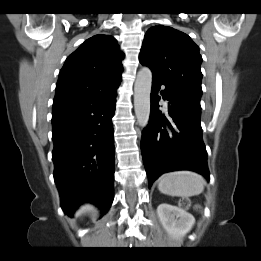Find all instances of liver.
<instances>
[{
	"label": "liver",
	"instance_id": "liver-1",
	"mask_svg": "<svg viewBox=\"0 0 261 261\" xmlns=\"http://www.w3.org/2000/svg\"><path fill=\"white\" fill-rule=\"evenodd\" d=\"M82 213H83V210H80V211H79V214H82Z\"/></svg>",
	"mask_w": 261,
	"mask_h": 261
}]
</instances>
